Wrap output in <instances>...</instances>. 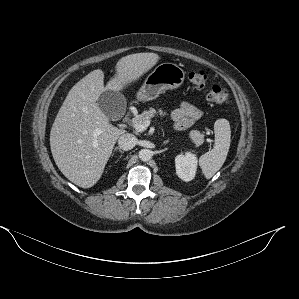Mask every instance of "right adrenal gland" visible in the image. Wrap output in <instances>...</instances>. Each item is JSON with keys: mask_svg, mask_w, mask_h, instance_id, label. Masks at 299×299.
<instances>
[{"mask_svg": "<svg viewBox=\"0 0 299 299\" xmlns=\"http://www.w3.org/2000/svg\"><path fill=\"white\" fill-rule=\"evenodd\" d=\"M114 151H119L121 154H123V153H124V151H123V150H121V148H119V147H116V148L114 149Z\"/></svg>", "mask_w": 299, "mask_h": 299, "instance_id": "obj_1", "label": "right adrenal gland"}]
</instances>
